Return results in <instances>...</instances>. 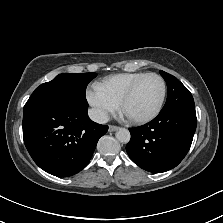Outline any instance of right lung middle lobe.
<instances>
[{
    "label": "right lung middle lobe",
    "mask_w": 223,
    "mask_h": 223,
    "mask_svg": "<svg viewBox=\"0 0 223 223\" xmlns=\"http://www.w3.org/2000/svg\"><path fill=\"white\" fill-rule=\"evenodd\" d=\"M96 73H63L52 81L37 87L28 101L23 112L43 106L70 105L88 108L85 91L88 83L96 77Z\"/></svg>",
    "instance_id": "1"
}]
</instances>
